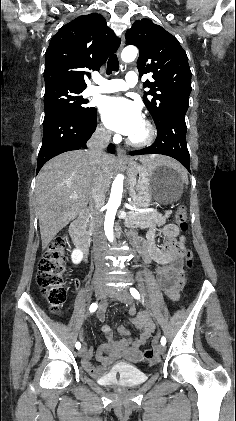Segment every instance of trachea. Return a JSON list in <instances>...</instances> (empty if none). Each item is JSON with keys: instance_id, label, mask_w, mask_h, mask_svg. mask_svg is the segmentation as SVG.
Segmentation results:
<instances>
[{"instance_id": "obj_1", "label": "trachea", "mask_w": 236, "mask_h": 421, "mask_svg": "<svg viewBox=\"0 0 236 421\" xmlns=\"http://www.w3.org/2000/svg\"><path fill=\"white\" fill-rule=\"evenodd\" d=\"M119 70V61L117 58V55H111L109 57L108 63H107V75H110L112 72H116Z\"/></svg>"}]
</instances>
